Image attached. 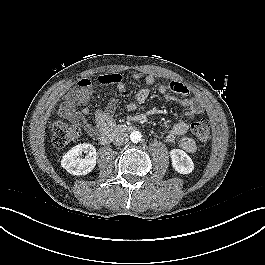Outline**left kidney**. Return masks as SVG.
I'll return each instance as SVG.
<instances>
[{"instance_id": "1", "label": "left kidney", "mask_w": 265, "mask_h": 265, "mask_svg": "<svg viewBox=\"0 0 265 265\" xmlns=\"http://www.w3.org/2000/svg\"><path fill=\"white\" fill-rule=\"evenodd\" d=\"M172 166L180 174H189L194 170V163L181 149H173L170 151Z\"/></svg>"}]
</instances>
